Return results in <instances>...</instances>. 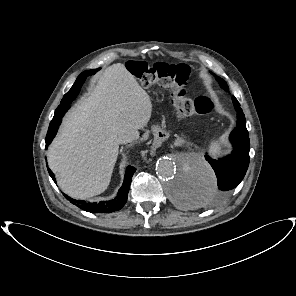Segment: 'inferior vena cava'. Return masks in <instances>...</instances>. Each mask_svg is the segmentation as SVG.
Returning <instances> with one entry per match:
<instances>
[{
    "label": "inferior vena cava",
    "instance_id": "1",
    "mask_svg": "<svg viewBox=\"0 0 296 296\" xmlns=\"http://www.w3.org/2000/svg\"><path fill=\"white\" fill-rule=\"evenodd\" d=\"M136 137H137L136 132L124 134V135H122V136H120L118 138V143L119 144H126V143H129V142H132Z\"/></svg>",
    "mask_w": 296,
    "mask_h": 296
}]
</instances>
